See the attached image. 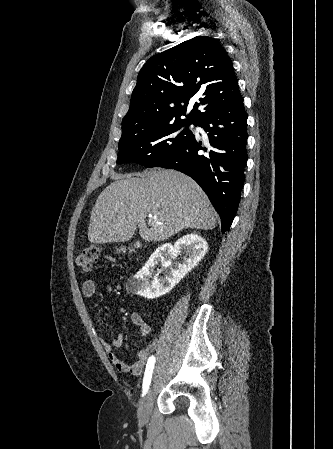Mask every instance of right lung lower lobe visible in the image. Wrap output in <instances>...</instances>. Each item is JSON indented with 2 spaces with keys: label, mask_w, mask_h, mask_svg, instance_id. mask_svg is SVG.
Listing matches in <instances>:
<instances>
[{
  "label": "right lung lower lobe",
  "mask_w": 333,
  "mask_h": 449,
  "mask_svg": "<svg viewBox=\"0 0 333 449\" xmlns=\"http://www.w3.org/2000/svg\"><path fill=\"white\" fill-rule=\"evenodd\" d=\"M246 121L247 113L239 94L197 122L208 132V141H200L193 135L156 166L185 173L201 186L220 215L222 233L232 224L245 179Z\"/></svg>",
  "instance_id": "1"
}]
</instances>
